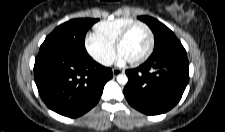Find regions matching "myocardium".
<instances>
[{"instance_id": "myocardium-1", "label": "myocardium", "mask_w": 225, "mask_h": 132, "mask_svg": "<svg viewBox=\"0 0 225 132\" xmlns=\"http://www.w3.org/2000/svg\"><path fill=\"white\" fill-rule=\"evenodd\" d=\"M137 27H143L148 35H149V46L147 51L139 58L134 59V60H129L128 63L131 65H138L143 63L144 61H146L150 55L153 52L154 49V34L152 29L145 23L143 22H135L133 24H131L130 26H128L126 29L123 30V32L118 36L116 42H115V49L117 51V53H119L120 47L122 45V43L126 40V38L129 36V34Z\"/></svg>"}]
</instances>
